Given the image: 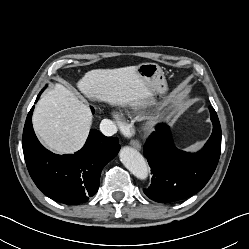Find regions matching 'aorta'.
I'll use <instances>...</instances> for the list:
<instances>
[{"label":"aorta","instance_id":"762f6f07","mask_svg":"<svg viewBox=\"0 0 249 249\" xmlns=\"http://www.w3.org/2000/svg\"><path fill=\"white\" fill-rule=\"evenodd\" d=\"M122 164L138 179L148 177V166L144 157L134 148L123 147L119 153Z\"/></svg>","mask_w":249,"mask_h":249}]
</instances>
